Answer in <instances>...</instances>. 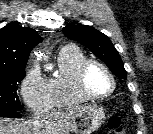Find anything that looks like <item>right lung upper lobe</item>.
<instances>
[{"instance_id": "right-lung-upper-lobe-1", "label": "right lung upper lobe", "mask_w": 153, "mask_h": 134, "mask_svg": "<svg viewBox=\"0 0 153 134\" xmlns=\"http://www.w3.org/2000/svg\"><path fill=\"white\" fill-rule=\"evenodd\" d=\"M41 41L31 28L10 23L0 29V71L25 69L31 50Z\"/></svg>"}]
</instances>
